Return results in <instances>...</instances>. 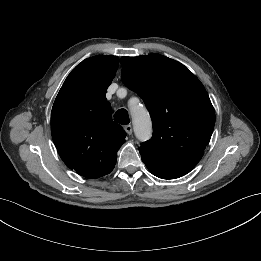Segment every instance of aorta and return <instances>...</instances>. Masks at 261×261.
<instances>
[{
  "label": "aorta",
  "mask_w": 261,
  "mask_h": 261,
  "mask_svg": "<svg viewBox=\"0 0 261 261\" xmlns=\"http://www.w3.org/2000/svg\"><path fill=\"white\" fill-rule=\"evenodd\" d=\"M133 126L136 137L145 141L152 136V125L148 112L145 108L132 111Z\"/></svg>",
  "instance_id": "762f6f07"
}]
</instances>
